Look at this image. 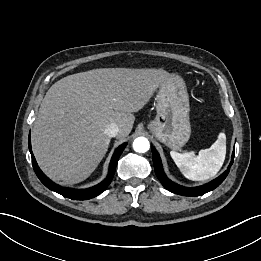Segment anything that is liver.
Returning <instances> with one entry per match:
<instances>
[{"instance_id":"6515ba94","label":"liver","mask_w":261,"mask_h":261,"mask_svg":"<svg viewBox=\"0 0 261 261\" xmlns=\"http://www.w3.org/2000/svg\"><path fill=\"white\" fill-rule=\"evenodd\" d=\"M171 75L163 69L102 68L64 77L47 91L32 129L38 165L53 181L76 184L105 156L108 125L118 139L133 128L142 109Z\"/></svg>"}]
</instances>
